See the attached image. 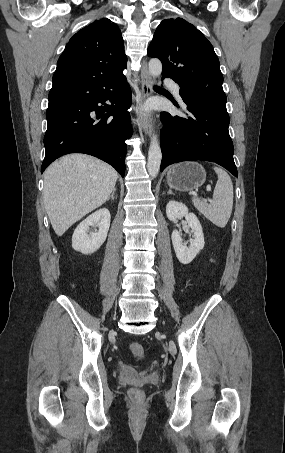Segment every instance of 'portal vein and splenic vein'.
<instances>
[{"label": "portal vein and splenic vein", "mask_w": 285, "mask_h": 453, "mask_svg": "<svg viewBox=\"0 0 285 453\" xmlns=\"http://www.w3.org/2000/svg\"><path fill=\"white\" fill-rule=\"evenodd\" d=\"M206 190H207V191H211V187H210V186H207V189H206ZM209 201H211V200H209Z\"/></svg>", "instance_id": "1"}]
</instances>
